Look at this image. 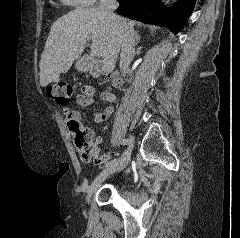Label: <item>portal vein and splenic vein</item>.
Wrapping results in <instances>:
<instances>
[{
	"mask_svg": "<svg viewBox=\"0 0 240 238\" xmlns=\"http://www.w3.org/2000/svg\"><path fill=\"white\" fill-rule=\"evenodd\" d=\"M91 54L92 55H98V53L96 51L91 50ZM113 67V63L111 61H104L103 63V69L108 70L111 69Z\"/></svg>",
	"mask_w": 240,
	"mask_h": 238,
	"instance_id": "portal-vein-and-splenic-vein-1",
	"label": "portal vein and splenic vein"
}]
</instances>
